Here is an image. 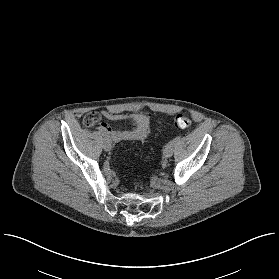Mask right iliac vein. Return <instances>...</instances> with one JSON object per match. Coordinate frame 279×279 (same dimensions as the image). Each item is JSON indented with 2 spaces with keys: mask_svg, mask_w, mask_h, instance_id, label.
Returning <instances> with one entry per match:
<instances>
[{
  "mask_svg": "<svg viewBox=\"0 0 279 279\" xmlns=\"http://www.w3.org/2000/svg\"><path fill=\"white\" fill-rule=\"evenodd\" d=\"M103 148L105 151H110L112 149V145L109 140H107V139L104 140Z\"/></svg>",
  "mask_w": 279,
  "mask_h": 279,
  "instance_id": "right-iliac-vein-1",
  "label": "right iliac vein"
}]
</instances>
